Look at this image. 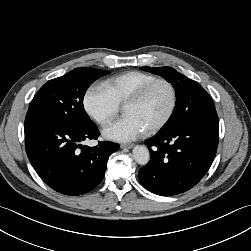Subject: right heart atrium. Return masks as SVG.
Wrapping results in <instances>:
<instances>
[{
	"mask_svg": "<svg viewBox=\"0 0 251 251\" xmlns=\"http://www.w3.org/2000/svg\"><path fill=\"white\" fill-rule=\"evenodd\" d=\"M83 107L88 116L100 125L108 124L120 109V105L108 90L98 84H93L86 89Z\"/></svg>",
	"mask_w": 251,
	"mask_h": 251,
	"instance_id": "d8ad5b80",
	"label": "right heart atrium"
}]
</instances>
